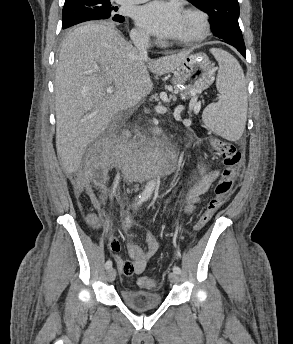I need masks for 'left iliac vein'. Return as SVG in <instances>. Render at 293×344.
Listing matches in <instances>:
<instances>
[{
  "mask_svg": "<svg viewBox=\"0 0 293 344\" xmlns=\"http://www.w3.org/2000/svg\"><path fill=\"white\" fill-rule=\"evenodd\" d=\"M168 277H169L170 282L173 283V284H178L180 282L179 274H177L174 271L170 272Z\"/></svg>",
  "mask_w": 293,
  "mask_h": 344,
  "instance_id": "1",
  "label": "left iliac vein"
}]
</instances>
